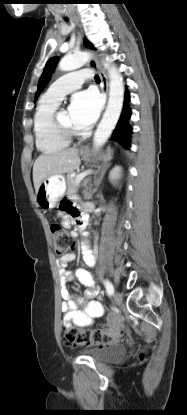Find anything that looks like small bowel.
I'll list each match as a JSON object with an SVG mask.
<instances>
[{"label":"small bowel","instance_id":"small-bowel-1","mask_svg":"<svg viewBox=\"0 0 187 415\" xmlns=\"http://www.w3.org/2000/svg\"><path fill=\"white\" fill-rule=\"evenodd\" d=\"M61 211L65 214L64 225L70 226V219L74 221L81 216L78 209L71 207L67 204L62 205ZM73 253H67L61 256L57 260V267L61 282V296L63 302L61 309L64 312V325L70 326L74 324L76 326L84 327L89 326L92 320L100 318L104 315V307L99 302L94 300L99 296L100 291L95 285L91 274L84 270L78 269L75 274L67 270V265L74 260ZM84 259L90 266L94 264V256L89 251H84ZM76 277L80 283L86 286V290L83 296H75L67 287L66 284ZM113 322V318H111Z\"/></svg>","mask_w":187,"mask_h":415}]
</instances>
